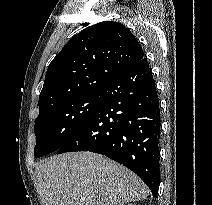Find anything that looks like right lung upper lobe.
Instances as JSON below:
<instances>
[{"instance_id": "right-lung-upper-lobe-1", "label": "right lung upper lobe", "mask_w": 212, "mask_h": 205, "mask_svg": "<svg viewBox=\"0 0 212 205\" xmlns=\"http://www.w3.org/2000/svg\"><path fill=\"white\" fill-rule=\"evenodd\" d=\"M142 58V47L123 24L104 21L89 26L50 63L39 96V116L78 96L100 92Z\"/></svg>"}]
</instances>
